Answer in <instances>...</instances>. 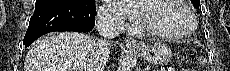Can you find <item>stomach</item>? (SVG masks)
<instances>
[{
	"label": "stomach",
	"instance_id": "obj_1",
	"mask_svg": "<svg viewBox=\"0 0 230 71\" xmlns=\"http://www.w3.org/2000/svg\"><path fill=\"white\" fill-rule=\"evenodd\" d=\"M135 52L141 58L153 64H165L172 57L171 49L166 44L161 43L144 45Z\"/></svg>",
	"mask_w": 230,
	"mask_h": 71
}]
</instances>
